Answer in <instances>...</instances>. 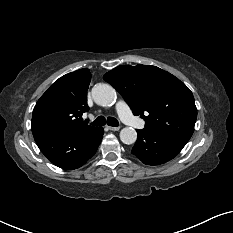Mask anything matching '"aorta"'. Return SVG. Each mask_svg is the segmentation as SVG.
<instances>
[{
    "label": "aorta",
    "mask_w": 233,
    "mask_h": 233,
    "mask_svg": "<svg viewBox=\"0 0 233 233\" xmlns=\"http://www.w3.org/2000/svg\"><path fill=\"white\" fill-rule=\"evenodd\" d=\"M92 96L98 105L110 106L116 100V91L110 85L99 84L92 89ZM120 139L124 144H133L136 142L137 132L132 127H125L120 131Z\"/></svg>",
    "instance_id": "obj_1"
}]
</instances>
